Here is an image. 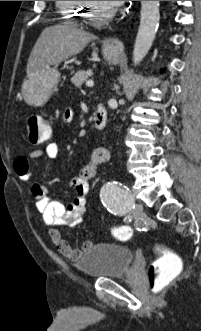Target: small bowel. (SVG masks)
<instances>
[{
	"label": "small bowel",
	"mask_w": 201,
	"mask_h": 331,
	"mask_svg": "<svg viewBox=\"0 0 201 331\" xmlns=\"http://www.w3.org/2000/svg\"><path fill=\"white\" fill-rule=\"evenodd\" d=\"M72 117V111L66 110L63 116L64 121L70 122ZM59 153V143L55 140L50 141L44 147L31 152L28 156L17 158L14 161L15 173L20 179L30 182L32 181V176L29 172V161L38 157L55 160ZM110 155L109 149L105 147L96 148L92 152L90 161L82 166L79 175L72 178L69 182L70 187L75 191V198L67 205L60 200L52 199L43 185L33 183L31 186V193L34 197L36 208L45 225L50 228L49 235L53 244L62 255L71 261L78 260L86 250L93 246V243L85 241L80 248H73L61 235L57 227H75L82 222L90 191L89 180L95 176L97 166L108 161Z\"/></svg>",
	"instance_id": "1"
}]
</instances>
